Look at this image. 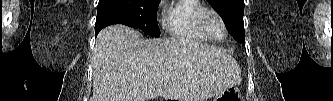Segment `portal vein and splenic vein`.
I'll use <instances>...</instances> for the list:
<instances>
[{
	"mask_svg": "<svg viewBox=\"0 0 333 101\" xmlns=\"http://www.w3.org/2000/svg\"><path fill=\"white\" fill-rule=\"evenodd\" d=\"M170 80V75H166L165 81L168 82Z\"/></svg>",
	"mask_w": 333,
	"mask_h": 101,
	"instance_id": "1",
	"label": "portal vein and splenic vein"
}]
</instances>
